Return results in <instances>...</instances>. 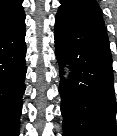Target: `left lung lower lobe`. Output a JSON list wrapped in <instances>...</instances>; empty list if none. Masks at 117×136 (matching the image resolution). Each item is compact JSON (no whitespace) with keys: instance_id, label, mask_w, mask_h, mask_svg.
<instances>
[{"instance_id":"0a47b994","label":"left lung lower lobe","mask_w":117,"mask_h":136,"mask_svg":"<svg viewBox=\"0 0 117 136\" xmlns=\"http://www.w3.org/2000/svg\"><path fill=\"white\" fill-rule=\"evenodd\" d=\"M55 52L61 69L59 93L64 136H116V99L109 39L105 27L56 15Z\"/></svg>"}]
</instances>
